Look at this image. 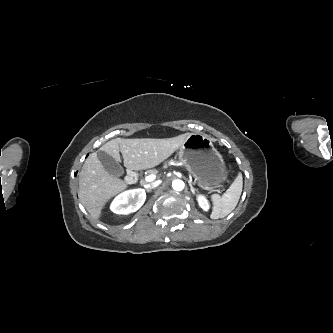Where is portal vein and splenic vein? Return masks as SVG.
<instances>
[{
  "instance_id": "portal-vein-and-splenic-vein-1",
  "label": "portal vein and splenic vein",
  "mask_w": 333,
  "mask_h": 333,
  "mask_svg": "<svg viewBox=\"0 0 333 333\" xmlns=\"http://www.w3.org/2000/svg\"><path fill=\"white\" fill-rule=\"evenodd\" d=\"M155 178H156L155 174H150V175L145 177V182H152V181L155 180Z\"/></svg>"
}]
</instances>
